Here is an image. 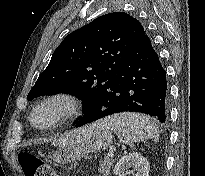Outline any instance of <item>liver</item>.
I'll return each mask as SVG.
<instances>
[{
	"instance_id": "obj_1",
	"label": "liver",
	"mask_w": 205,
	"mask_h": 176,
	"mask_svg": "<svg viewBox=\"0 0 205 176\" xmlns=\"http://www.w3.org/2000/svg\"><path fill=\"white\" fill-rule=\"evenodd\" d=\"M89 127H83L80 129H75L72 130L66 134H64L63 136H61L57 141H55V145L59 146V147H66V146H70L76 142H79L80 140H82L85 135L87 134Z\"/></svg>"
}]
</instances>
